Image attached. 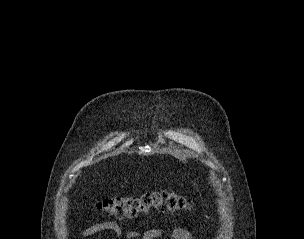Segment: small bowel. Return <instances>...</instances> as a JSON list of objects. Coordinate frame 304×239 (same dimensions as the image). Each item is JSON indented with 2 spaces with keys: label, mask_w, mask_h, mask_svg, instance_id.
<instances>
[{
  "label": "small bowel",
  "mask_w": 304,
  "mask_h": 239,
  "mask_svg": "<svg viewBox=\"0 0 304 239\" xmlns=\"http://www.w3.org/2000/svg\"><path fill=\"white\" fill-rule=\"evenodd\" d=\"M110 231L114 237H119L122 233L120 226L114 222H104L95 224L82 232L83 238L91 237L100 232ZM192 239V234L185 228H175L172 230H163L160 228H151L140 234L136 231L126 233V239Z\"/></svg>",
  "instance_id": "1"
}]
</instances>
